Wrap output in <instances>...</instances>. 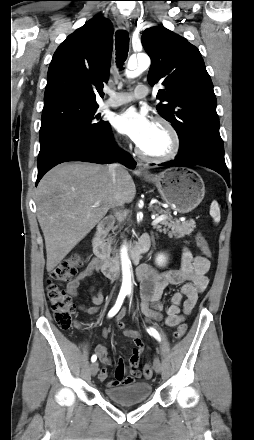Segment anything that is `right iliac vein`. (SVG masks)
I'll list each match as a JSON object with an SVG mask.
<instances>
[{
  "mask_svg": "<svg viewBox=\"0 0 254 440\" xmlns=\"http://www.w3.org/2000/svg\"><path fill=\"white\" fill-rule=\"evenodd\" d=\"M99 369V364L98 362H93L90 366V370H91V374L92 376H95L98 372Z\"/></svg>",
  "mask_w": 254,
  "mask_h": 440,
  "instance_id": "1",
  "label": "right iliac vein"
}]
</instances>
